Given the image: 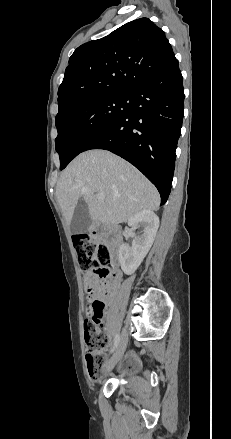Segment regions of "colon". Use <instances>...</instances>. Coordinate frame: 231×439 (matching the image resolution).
Returning a JSON list of instances; mask_svg holds the SVG:
<instances>
[{"label":"colon","mask_w":231,"mask_h":439,"mask_svg":"<svg viewBox=\"0 0 231 439\" xmlns=\"http://www.w3.org/2000/svg\"><path fill=\"white\" fill-rule=\"evenodd\" d=\"M73 243L77 252L80 270L85 275L93 273L97 276L100 288L106 290L109 287V279L112 273L109 249L92 234L76 235ZM103 308V303L98 299L92 300L87 308L90 319L85 324V343L88 350L86 366L93 378L101 376V369L105 362V356L101 353V350L106 342L99 320Z\"/></svg>","instance_id":"1"}]
</instances>
